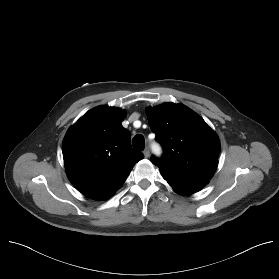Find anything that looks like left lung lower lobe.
<instances>
[{"label": "left lung lower lobe", "mask_w": 279, "mask_h": 279, "mask_svg": "<svg viewBox=\"0 0 279 279\" xmlns=\"http://www.w3.org/2000/svg\"><path fill=\"white\" fill-rule=\"evenodd\" d=\"M163 178L175 190V192L183 195H189L201 190L207 182L184 178L168 171L160 169Z\"/></svg>", "instance_id": "left-lung-lower-lobe-1"}]
</instances>
